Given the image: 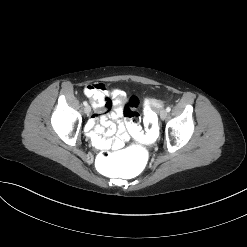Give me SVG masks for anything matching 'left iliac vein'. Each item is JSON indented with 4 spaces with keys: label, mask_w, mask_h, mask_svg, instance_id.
<instances>
[{
    "label": "left iliac vein",
    "mask_w": 247,
    "mask_h": 247,
    "mask_svg": "<svg viewBox=\"0 0 247 247\" xmlns=\"http://www.w3.org/2000/svg\"><path fill=\"white\" fill-rule=\"evenodd\" d=\"M167 115H168V112L165 109L160 111V118L162 120L166 119Z\"/></svg>",
    "instance_id": "left-iliac-vein-1"
}]
</instances>
